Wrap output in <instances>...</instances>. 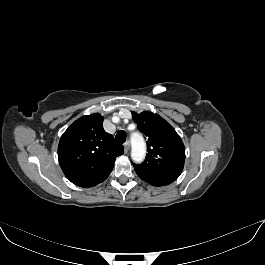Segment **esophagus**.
Instances as JSON below:
<instances>
[{"label": "esophagus", "mask_w": 265, "mask_h": 265, "mask_svg": "<svg viewBox=\"0 0 265 265\" xmlns=\"http://www.w3.org/2000/svg\"><path fill=\"white\" fill-rule=\"evenodd\" d=\"M129 149H130V143H129V141H127V142L124 143L125 153H127L129 151Z\"/></svg>", "instance_id": "1"}]
</instances>
